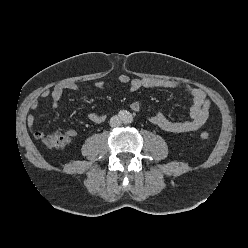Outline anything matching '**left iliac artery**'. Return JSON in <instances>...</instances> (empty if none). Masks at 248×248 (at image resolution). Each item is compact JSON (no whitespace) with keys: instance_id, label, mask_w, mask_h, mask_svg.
<instances>
[{"instance_id":"left-iliac-artery-1","label":"left iliac artery","mask_w":248,"mask_h":248,"mask_svg":"<svg viewBox=\"0 0 248 248\" xmlns=\"http://www.w3.org/2000/svg\"><path fill=\"white\" fill-rule=\"evenodd\" d=\"M133 120L132 116L131 115H128L127 118H126V122L127 123H131Z\"/></svg>"}]
</instances>
